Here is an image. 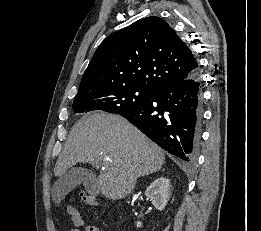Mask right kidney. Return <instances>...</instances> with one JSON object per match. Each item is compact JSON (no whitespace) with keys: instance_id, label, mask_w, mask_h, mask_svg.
<instances>
[{"instance_id":"right-kidney-1","label":"right kidney","mask_w":261,"mask_h":231,"mask_svg":"<svg viewBox=\"0 0 261 231\" xmlns=\"http://www.w3.org/2000/svg\"><path fill=\"white\" fill-rule=\"evenodd\" d=\"M169 184V179L160 177L154 180L145 191L146 197L150 199L154 207L159 211H162L168 202ZM141 225L142 223L139 221L136 223L137 228L141 227Z\"/></svg>"}]
</instances>
